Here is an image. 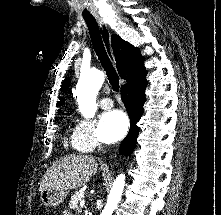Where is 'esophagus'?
Here are the masks:
<instances>
[{
  "label": "esophagus",
  "instance_id": "obj_1",
  "mask_svg": "<svg viewBox=\"0 0 221 215\" xmlns=\"http://www.w3.org/2000/svg\"><path fill=\"white\" fill-rule=\"evenodd\" d=\"M98 24H99L102 41L104 43L108 57L110 58L112 64L115 66L116 60H115L112 46H111V38H110V32H109L108 26L101 19L98 20Z\"/></svg>",
  "mask_w": 221,
  "mask_h": 215
}]
</instances>
